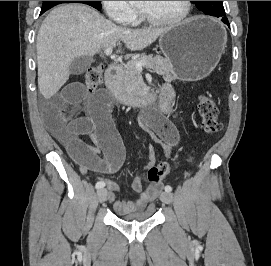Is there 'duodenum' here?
Instances as JSON below:
<instances>
[{
	"label": "duodenum",
	"instance_id": "obj_1",
	"mask_svg": "<svg viewBox=\"0 0 271 266\" xmlns=\"http://www.w3.org/2000/svg\"><path fill=\"white\" fill-rule=\"evenodd\" d=\"M122 76L121 67L117 64L108 67L105 73V83L108 90L113 94L118 102L126 104L130 101L131 97L128 96L121 88L120 80ZM154 93L146 94L140 98L135 99L138 104L151 105L156 101Z\"/></svg>",
	"mask_w": 271,
	"mask_h": 266
}]
</instances>
